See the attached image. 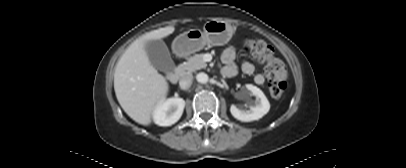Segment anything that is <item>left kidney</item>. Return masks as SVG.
<instances>
[{
    "mask_svg": "<svg viewBox=\"0 0 406 168\" xmlns=\"http://www.w3.org/2000/svg\"><path fill=\"white\" fill-rule=\"evenodd\" d=\"M247 94L249 96H255V100L249 101V109H239L235 105H231L230 112L234 118L242 122H250L259 120L270 110V103L262 90L258 87L247 84Z\"/></svg>",
    "mask_w": 406,
    "mask_h": 168,
    "instance_id": "5707ae66",
    "label": "left kidney"
}]
</instances>
